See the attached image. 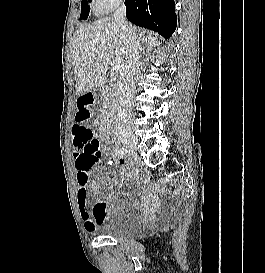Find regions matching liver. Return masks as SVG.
Masks as SVG:
<instances>
[{
	"label": "liver",
	"mask_w": 265,
	"mask_h": 273,
	"mask_svg": "<svg viewBox=\"0 0 265 273\" xmlns=\"http://www.w3.org/2000/svg\"><path fill=\"white\" fill-rule=\"evenodd\" d=\"M141 37L150 50L158 44L152 34L146 37L141 34ZM71 58L77 97L88 93L102 82L112 59L115 58L124 65L126 45L114 20L106 17L80 27L71 41Z\"/></svg>",
	"instance_id": "1"
}]
</instances>
